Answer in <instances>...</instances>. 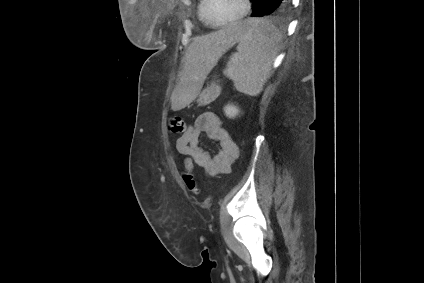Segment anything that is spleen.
I'll list each match as a JSON object with an SVG mask.
<instances>
[{
    "label": "spleen",
    "instance_id": "3e777b00",
    "mask_svg": "<svg viewBox=\"0 0 424 283\" xmlns=\"http://www.w3.org/2000/svg\"><path fill=\"white\" fill-rule=\"evenodd\" d=\"M247 31L239 40L224 74L235 88L250 96L258 95L268 79L281 42L279 30L271 23L248 19Z\"/></svg>",
    "mask_w": 424,
    "mask_h": 283
}]
</instances>
